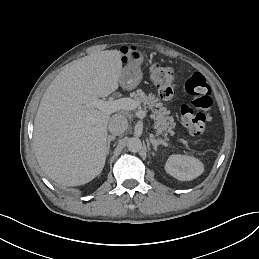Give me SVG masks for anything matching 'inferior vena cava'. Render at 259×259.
<instances>
[{
  "label": "inferior vena cava",
  "mask_w": 259,
  "mask_h": 259,
  "mask_svg": "<svg viewBox=\"0 0 259 259\" xmlns=\"http://www.w3.org/2000/svg\"><path fill=\"white\" fill-rule=\"evenodd\" d=\"M128 127L127 118L121 114H115L109 119L108 129L113 135H118L123 132Z\"/></svg>",
  "instance_id": "1"
}]
</instances>
